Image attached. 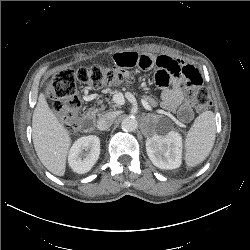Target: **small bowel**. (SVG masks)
<instances>
[{"label":"small bowel","mask_w":250,"mask_h":250,"mask_svg":"<svg viewBox=\"0 0 250 250\" xmlns=\"http://www.w3.org/2000/svg\"><path fill=\"white\" fill-rule=\"evenodd\" d=\"M119 68H155V83L161 89L162 106L176 112L180 121L189 122L193 117L190 101L195 90L202 85L199 70L180 59L136 52H123L114 56Z\"/></svg>","instance_id":"small-bowel-1"}]
</instances>
